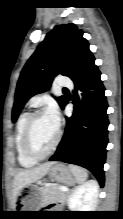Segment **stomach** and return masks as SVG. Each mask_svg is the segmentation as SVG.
<instances>
[{"label":"stomach","mask_w":123,"mask_h":219,"mask_svg":"<svg viewBox=\"0 0 123 219\" xmlns=\"http://www.w3.org/2000/svg\"><path fill=\"white\" fill-rule=\"evenodd\" d=\"M47 175L51 180L67 185L74 184L76 182V177L70 168L62 163L53 164L49 168ZM41 205L42 197L40 188L35 184H30L26 195L21 199V208L29 210L21 211H34L33 209H38Z\"/></svg>","instance_id":"stomach-1"}]
</instances>
